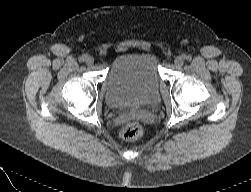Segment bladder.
<instances>
[{
  "label": "bladder",
  "instance_id": "31cf9c89",
  "mask_svg": "<svg viewBox=\"0 0 251 192\" xmlns=\"http://www.w3.org/2000/svg\"><path fill=\"white\" fill-rule=\"evenodd\" d=\"M158 57L151 52L124 53L112 63L105 98L114 108H138L156 102L161 77Z\"/></svg>",
  "mask_w": 251,
  "mask_h": 192
}]
</instances>
